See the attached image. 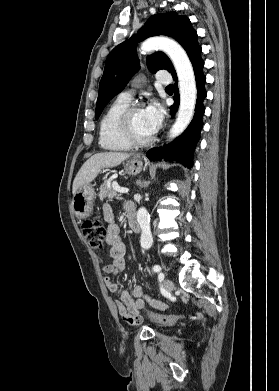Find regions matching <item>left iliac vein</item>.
<instances>
[{
	"label": "left iliac vein",
	"mask_w": 279,
	"mask_h": 391,
	"mask_svg": "<svg viewBox=\"0 0 279 391\" xmlns=\"http://www.w3.org/2000/svg\"><path fill=\"white\" fill-rule=\"evenodd\" d=\"M163 284L168 292H171L174 288V284L170 279H164Z\"/></svg>",
	"instance_id": "left-iliac-vein-1"
}]
</instances>
